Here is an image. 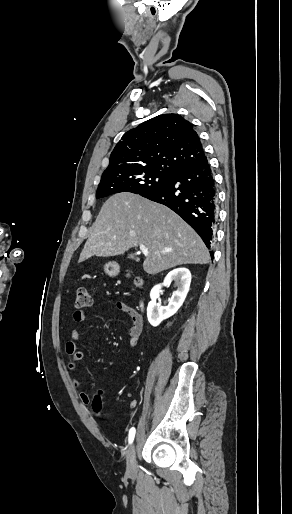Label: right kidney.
Masks as SVG:
<instances>
[{
    "mask_svg": "<svg viewBox=\"0 0 292 514\" xmlns=\"http://www.w3.org/2000/svg\"><path fill=\"white\" fill-rule=\"evenodd\" d=\"M175 282L178 290L173 292L168 306H160L156 304L157 298L160 296L161 286H170L171 282ZM191 274L187 268H176L167 274L161 286H154L150 292L151 302L147 306V318L151 326H159L163 320L170 318L176 314L177 310L181 308L190 288Z\"/></svg>",
    "mask_w": 292,
    "mask_h": 514,
    "instance_id": "obj_1",
    "label": "right kidney"
}]
</instances>
